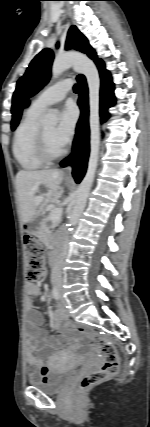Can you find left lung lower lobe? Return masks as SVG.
Segmentation results:
<instances>
[{
    "instance_id": "left-lung-lower-lobe-1",
    "label": "left lung lower lobe",
    "mask_w": 150,
    "mask_h": 427,
    "mask_svg": "<svg viewBox=\"0 0 150 427\" xmlns=\"http://www.w3.org/2000/svg\"><path fill=\"white\" fill-rule=\"evenodd\" d=\"M96 65L99 69L101 78L100 88V116L101 121L104 122L108 119L109 114L107 109L114 105L115 97L113 94L114 84L110 73L105 69L104 62L98 59ZM81 85V91L79 94L78 105L81 108V118L77 124L76 136L73 143V152L69 158L64 159L61 162V166L65 167L71 164L73 167V177L77 183H79L87 167V160L89 155V126H88V89L84 76L77 78Z\"/></svg>"
}]
</instances>
